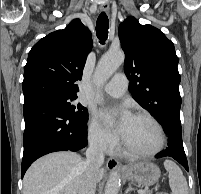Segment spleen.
<instances>
[{
  "label": "spleen",
  "mask_w": 201,
  "mask_h": 194,
  "mask_svg": "<svg viewBox=\"0 0 201 194\" xmlns=\"http://www.w3.org/2000/svg\"><path fill=\"white\" fill-rule=\"evenodd\" d=\"M164 167L169 174V185L172 194H188L187 181L181 169L171 160H165Z\"/></svg>",
  "instance_id": "1"
}]
</instances>
